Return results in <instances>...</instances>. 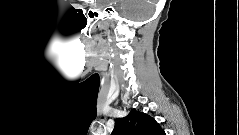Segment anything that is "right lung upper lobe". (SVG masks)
<instances>
[{"instance_id":"cb5924a9","label":"right lung upper lobe","mask_w":239,"mask_h":135,"mask_svg":"<svg viewBox=\"0 0 239 135\" xmlns=\"http://www.w3.org/2000/svg\"><path fill=\"white\" fill-rule=\"evenodd\" d=\"M112 135H165L164 130L149 115L131 110L123 118L115 120Z\"/></svg>"}]
</instances>
